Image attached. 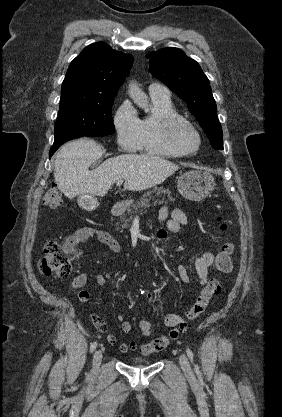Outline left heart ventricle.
<instances>
[{"instance_id": "left-heart-ventricle-1", "label": "left heart ventricle", "mask_w": 282, "mask_h": 417, "mask_svg": "<svg viewBox=\"0 0 282 417\" xmlns=\"http://www.w3.org/2000/svg\"><path fill=\"white\" fill-rule=\"evenodd\" d=\"M158 130L160 134L164 137L166 130L161 122H158ZM178 140L180 144L189 151H194L197 147L198 140L197 138L189 131L181 129L178 131Z\"/></svg>"}]
</instances>
